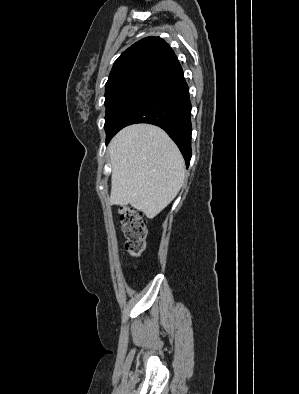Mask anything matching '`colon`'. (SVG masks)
Returning a JSON list of instances; mask_svg holds the SVG:
<instances>
[{"label": "colon", "instance_id": "5ec220e1", "mask_svg": "<svg viewBox=\"0 0 299 394\" xmlns=\"http://www.w3.org/2000/svg\"><path fill=\"white\" fill-rule=\"evenodd\" d=\"M120 220L126 237V250L134 258L139 257L145 248L146 224L134 208H119Z\"/></svg>", "mask_w": 299, "mask_h": 394}]
</instances>
